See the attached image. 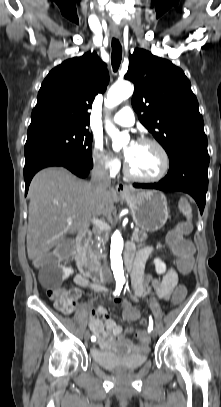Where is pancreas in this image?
<instances>
[{"label":"pancreas","instance_id":"pancreas-1","mask_svg":"<svg viewBox=\"0 0 221 407\" xmlns=\"http://www.w3.org/2000/svg\"><path fill=\"white\" fill-rule=\"evenodd\" d=\"M148 235L145 231H134L132 240L136 243H142L147 239Z\"/></svg>","mask_w":221,"mask_h":407}]
</instances>
